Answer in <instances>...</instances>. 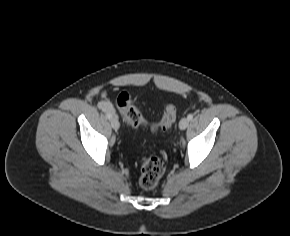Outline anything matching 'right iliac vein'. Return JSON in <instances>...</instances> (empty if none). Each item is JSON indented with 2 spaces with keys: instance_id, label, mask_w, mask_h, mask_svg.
<instances>
[{
  "instance_id": "1",
  "label": "right iliac vein",
  "mask_w": 290,
  "mask_h": 236,
  "mask_svg": "<svg viewBox=\"0 0 290 236\" xmlns=\"http://www.w3.org/2000/svg\"><path fill=\"white\" fill-rule=\"evenodd\" d=\"M111 126L114 130H118L120 127V123L118 121V118L115 116L113 118H111L110 120Z\"/></svg>"
}]
</instances>
